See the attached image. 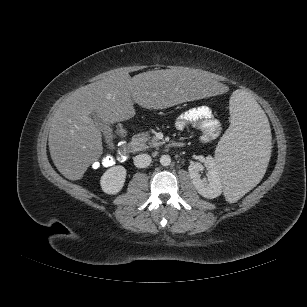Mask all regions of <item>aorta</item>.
<instances>
[{
  "label": "aorta",
  "instance_id": "obj_1",
  "mask_svg": "<svg viewBox=\"0 0 307 307\" xmlns=\"http://www.w3.org/2000/svg\"><path fill=\"white\" fill-rule=\"evenodd\" d=\"M171 163V157L169 155H162L160 157V164L162 166H169Z\"/></svg>",
  "mask_w": 307,
  "mask_h": 307
}]
</instances>
